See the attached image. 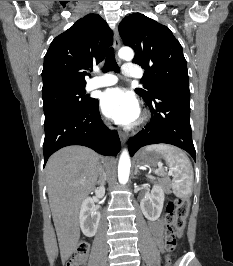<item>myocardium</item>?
Returning <instances> with one entry per match:
<instances>
[{"label": "myocardium", "instance_id": "myocardium-1", "mask_svg": "<svg viewBox=\"0 0 233 266\" xmlns=\"http://www.w3.org/2000/svg\"><path fill=\"white\" fill-rule=\"evenodd\" d=\"M143 120H144V121L147 120V116H146V115H144Z\"/></svg>", "mask_w": 233, "mask_h": 266}]
</instances>
